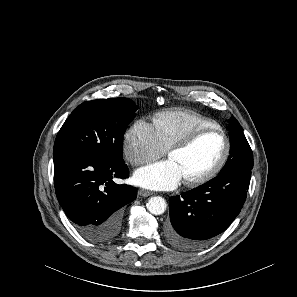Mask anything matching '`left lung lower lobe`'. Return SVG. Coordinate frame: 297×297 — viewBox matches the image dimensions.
Instances as JSON below:
<instances>
[{
    "label": "left lung lower lobe",
    "instance_id": "0a47b994",
    "mask_svg": "<svg viewBox=\"0 0 297 297\" xmlns=\"http://www.w3.org/2000/svg\"><path fill=\"white\" fill-rule=\"evenodd\" d=\"M251 172L222 173L170 198L167 241L181 250H197L225 231L240 213L246 200Z\"/></svg>",
    "mask_w": 297,
    "mask_h": 297
}]
</instances>
